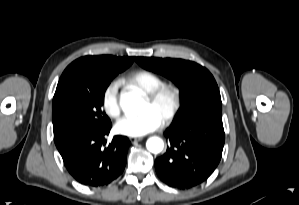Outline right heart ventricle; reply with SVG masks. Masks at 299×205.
Returning a JSON list of instances; mask_svg holds the SVG:
<instances>
[{
	"label": "right heart ventricle",
	"instance_id": "e07e8e85",
	"mask_svg": "<svg viewBox=\"0 0 299 205\" xmlns=\"http://www.w3.org/2000/svg\"><path fill=\"white\" fill-rule=\"evenodd\" d=\"M125 81L129 86L138 89L144 94L155 90L163 84L161 77L148 70L135 71L128 75Z\"/></svg>",
	"mask_w": 299,
	"mask_h": 205
}]
</instances>
